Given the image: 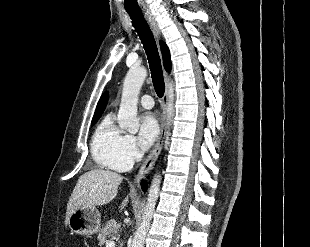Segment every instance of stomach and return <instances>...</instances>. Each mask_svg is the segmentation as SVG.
I'll return each mask as SVG.
<instances>
[{
    "label": "stomach",
    "mask_w": 310,
    "mask_h": 247,
    "mask_svg": "<svg viewBox=\"0 0 310 247\" xmlns=\"http://www.w3.org/2000/svg\"><path fill=\"white\" fill-rule=\"evenodd\" d=\"M70 230L82 236H90L100 230V213L96 207H80L68 219Z\"/></svg>",
    "instance_id": "stomach-1"
}]
</instances>
